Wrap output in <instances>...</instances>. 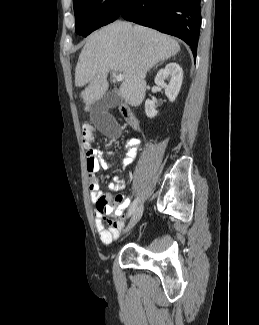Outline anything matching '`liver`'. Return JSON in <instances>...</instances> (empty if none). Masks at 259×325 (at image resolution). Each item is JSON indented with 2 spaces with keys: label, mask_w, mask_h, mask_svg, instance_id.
Returning a JSON list of instances; mask_svg holds the SVG:
<instances>
[{
  "label": "liver",
  "mask_w": 259,
  "mask_h": 325,
  "mask_svg": "<svg viewBox=\"0 0 259 325\" xmlns=\"http://www.w3.org/2000/svg\"><path fill=\"white\" fill-rule=\"evenodd\" d=\"M179 51L180 46L172 37L125 21L113 22L93 32L75 69V85L82 87L88 83L80 94L84 110L88 112L106 93L110 71L122 72L120 95L131 106H139L145 97L147 71Z\"/></svg>",
  "instance_id": "liver-1"
}]
</instances>
